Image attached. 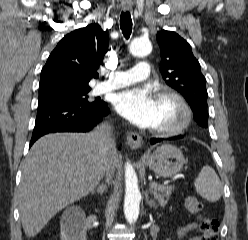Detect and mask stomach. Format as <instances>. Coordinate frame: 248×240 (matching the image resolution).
<instances>
[{
    "instance_id": "stomach-1",
    "label": "stomach",
    "mask_w": 248,
    "mask_h": 240,
    "mask_svg": "<svg viewBox=\"0 0 248 240\" xmlns=\"http://www.w3.org/2000/svg\"><path fill=\"white\" fill-rule=\"evenodd\" d=\"M148 167L161 177H171L178 173L185 159L183 153L171 144H163L145 156Z\"/></svg>"
}]
</instances>
